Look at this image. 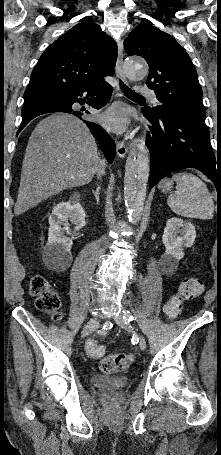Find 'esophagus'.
Wrapping results in <instances>:
<instances>
[{"instance_id": "esophagus-1", "label": "esophagus", "mask_w": 221, "mask_h": 455, "mask_svg": "<svg viewBox=\"0 0 221 455\" xmlns=\"http://www.w3.org/2000/svg\"><path fill=\"white\" fill-rule=\"evenodd\" d=\"M116 73H117V77L120 80H122L125 83L127 82L126 76L123 71V42H122V40H120L118 43V57H117V63H116ZM117 91L121 92L119 87H117ZM129 147H130L129 143L126 144L125 142L117 141V145H116L117 155L120 158H124L129 151Z\"/></svg>"}]
</instances>
